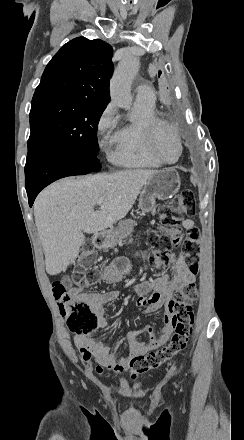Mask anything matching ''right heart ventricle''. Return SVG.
Masks as SVG:
<instances>
[{
	"instance_id": "1",
	"label": "right heart ventricle",
	"mask_w": 244,
	"mask_h": 440,
	"mask_svg": "<svg viewBox=\"0 0 244 440\" xmlns=\"http://www.w3.org/2000/svg\"><path fill=\"white\" fill-rule=\"evenodd\" d=\"M133 114L134 118L109 137V143L115 147L112 159L124 167L157 168L161 163L151 152L149 145L151 141L147 139L149 137L147 134L154 132L149 129V126L153 122H159L156 104L155 102H137L135 100ZM123 144H126L127 148L118 150L117 147ZM155 149H157L156 146Z\"/></svg>"
}]
</instances>
